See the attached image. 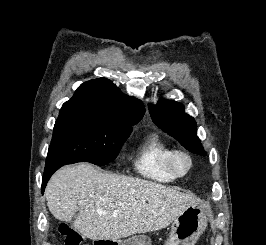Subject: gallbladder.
Returning a JSON list of instances; mask_svg holds the SVG:
<instances>
[{"mask_svg": "<svg viewBox=\"0 0 266 245\" xmlns=\"http://www.w3.org/2000/svg\"><path fill=\"white\" fill-rule=\"evenodd\" d=\"M75 217H78V213H76Z\"/></svg>", "mask_w": 266, "mask_h": 245, "instance_id": "bac80fb5", "label": "gallbladder"}]
</instances>
